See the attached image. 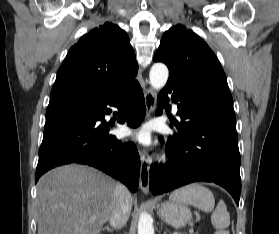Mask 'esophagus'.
<instances>
[{"mask_svg": "<svg viewBox=\"0 0 279 234\" xmlns=\"http://www.w3.org/2000/svg\"><path fill=\"white\" fill-rule=\"evenodd\" d=\"M156 92L151 88L144 89L146 118H149L156 108ZM140 188L143 193L149 192L150 181V166L149 161L144 153H141V165H140Z\"/></svg>", "mask_w": 279, "mask_h": 234, "instance_id": "esophagus-1", "label": "esophagus"}]
</instances>
